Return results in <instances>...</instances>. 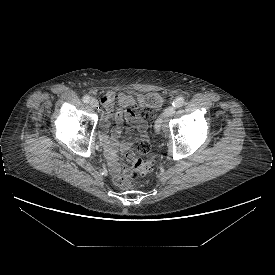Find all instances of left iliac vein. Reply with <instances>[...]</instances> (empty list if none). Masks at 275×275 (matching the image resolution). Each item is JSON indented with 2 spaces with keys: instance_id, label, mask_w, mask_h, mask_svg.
<instances>
[{
  "instance_id": "left-iliac-vein-1",
  "label": "left iliac vein",
  "mask_w": 275,
  "mask_h": 275,
  "mask_svg": "<svg viewBox=\"0 0 275 275\" xmlns=\"http://www.w3.org/2000/svg\"><path fill=\"white\" fill-rule=\"evenodd\" d=\"M175 113V108L170 106L166 108L161 114V126L164 132L169 130V119Z\"/></svg>"
}]
</instances>
